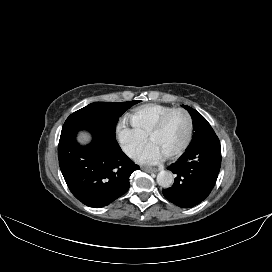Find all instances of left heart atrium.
I'll list each match as a JSON object with an SVG mask.
<instances>
[{"label": "left heart atrium", "instance_id": "39dd6f15", "mask_svg": "<svg viewBox=\"0 0 272 272\" xmlns=\"http://www.w3.org/2000/svg\"><path fill=\"white\" fill-rule=\"evenodd\" d=\"M163 157L162 151L150 141L138 155V161L144 164H156Z\"/></svg>", "mask_w": 272, "mask_h": 272}]
</instances>
